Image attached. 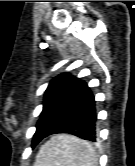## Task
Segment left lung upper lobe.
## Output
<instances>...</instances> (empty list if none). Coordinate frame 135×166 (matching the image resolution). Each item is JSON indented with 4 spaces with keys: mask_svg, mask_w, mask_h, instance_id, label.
<instances>
[{
    "mask_svg": "<svg viewBox=\"0 0 135 166\" xmlns=\"http://www.w3.org/2000/svg\"><path fill=\"white\" fill-rule=\"evenodd\" d=\"M78 82L77 78L68 74L62 73L55 77L48 85L45 91L43 110L40 114V119L37 123V128L54 110V106L62 101L67 94L73 89Z\"/></svg>",
    "mask_w": 135,
    "mask_h": 166,
    "instance_id": "left-lung-upper-lobe-1",
    "label": "left lung upper lobe"
}]
</instances>
